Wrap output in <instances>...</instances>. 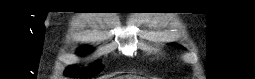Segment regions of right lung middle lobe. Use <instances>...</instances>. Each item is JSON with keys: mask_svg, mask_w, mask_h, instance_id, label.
<instances>
[{"mask_svg": "<svg viewBox=\"0 0 255 79\" xmlns=\"http://www.w3.org/2000/svg\"><path fill=\"white\" fill-rule=\"evenodd\" d=\"M90 51L89 48L83 47L80 49L81 53H86ZM102 65L98 64L97 66H93L91 68H84V69H77L76 67H70L66 70V74L69 76H77V77H89V76H94L98 74L102 70Z\"/></svg>", "mask_w": 255, "mask_h": 79, "instance_id": "1", "label": "right lung middle lobe"}]
</instances>
